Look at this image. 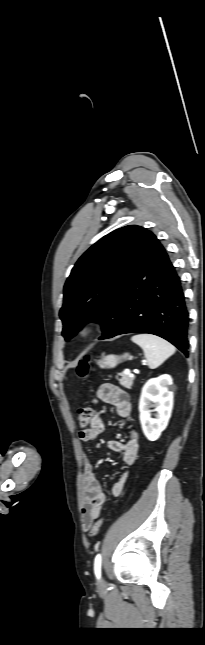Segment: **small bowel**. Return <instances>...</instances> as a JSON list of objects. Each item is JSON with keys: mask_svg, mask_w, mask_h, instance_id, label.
Instances as JSON below:
<instances>
[{"mask_svg": "<svg viewBox=\"0 0 205 645\" xmlns=\"http://www.w3.org/2000/svg\"><path fill=\"white\" fill-rule=\"evenodd\" d=\"M97 398L105 403L115 407L119 417L126 419L131 414V403L128 394L121 388L110 384H102L97 391ZM104 431L103 419L94 414L90 426L79 433V437L84 442H92L98 438ZM108 447L113 452L122 454V462L125 467L131 466L137 459L139 449V435L133 426L127 430V439L124 442L119 440L108 441ZM129 476L128 470L123 469L111 486V493L118 497L122 494ZM84 492L83 504L81 508L82 526L85 530L90 529L94 520L103 512L106 502V495L102 489L99 480L95 476L94 467L91 459L84 457Z\"/></svg>", "mask_w": 205, "mask_h": 645, "instance_id": "obj_1", "label": "small bowel"}]
</instances>
